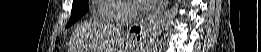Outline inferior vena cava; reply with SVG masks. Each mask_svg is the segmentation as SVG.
<instances>
[{
  "label": "inferior vena cava",
  "instance_id": "obj_1",
  "mask_svg": "<svg viewBox=\"0 0 261 52\" xmlns=\"http://www.w3.org/2000/svg\"><path fill=\"white\" fill-rule=\"evenodd\" d=\"M137 14L138 11L135 6L127 5L123 23H126V25L131 24L132 21L136 19Z\"/></svg>",
  "mask_w": 261,
  "mask_h": 52
}]
</instances>
